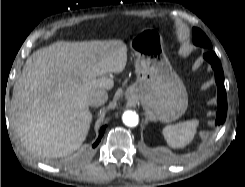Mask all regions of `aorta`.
<instances>
[{
	"mask_svg": "<svg viewBox=\"0 0 245 187\" xmlns=\"http://www.w3.org/2000/svg\"><path fill=\"white\" fill-rule=\"evenodd\" d=\"M123 123L128 127H135L138 125L139 117L136 112L133 111H125L122 116Z\"/></svg>",
	"mask_w": 245,
	"mask_h": 187,
	"instance_id": "aorta-1",
	"label": "aorta"
}]
</instances>
